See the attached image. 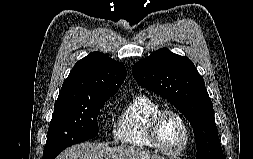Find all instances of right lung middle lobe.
I'll return each mask as SVG.
<instances>
[{"label": "right lung middle lobe", "instance_id": "1", "mask_svg": "<svg viewBox=\"0 0 253 159\" xmlns=\"http://www.w3.org/2000/svg\"><path fill=\"white\" fill-rule=\"evenodd\" d=\"M110 96L57 99L47 134L43 159H54L65 148L98 134L97 117Z\"/></svg>", "mask_w": 253, "mask_h": 159}]
</instances>
